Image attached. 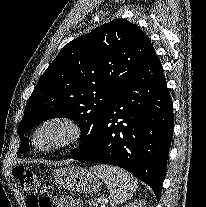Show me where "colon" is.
I'll return each instance as SVG.
<instances>
[{"label": "colon", "instance_id": "colon-1", "mask_svg": "<svg viewBox=\"0 0 206 207\" xmlns=\"http://www.w3.org/2000/svg\"><path fill=\"white\" fill-rule=\"evenodd\" d=\"M14 176L27 195L29 207H53L51 200L43 194L51 188L49 183L25 167H16Z\"/></svg>", "mask_w": 206, "mask_h": 207}]
</instances>
